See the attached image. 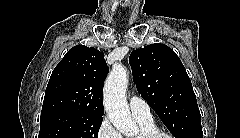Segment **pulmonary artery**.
Instances as JSON below:
<instances>
[{
  "label": "pulmonary artery",
  "instance_id": "pulmonary-artery-1",
  "mask_svg": "<svg viewBox=\"0 0 240 138\" xmlns=\"http://www.w3.org/2000/svg\"><path fill=\"white\" fill-rule=\"evenodd\" d=\"M129 107L134 117L149 119L152 118L148 103L138 96L129 99Z\"/></svg>",
  "mask_w": 240,
  "mask_h": 138
}]
</instances>
